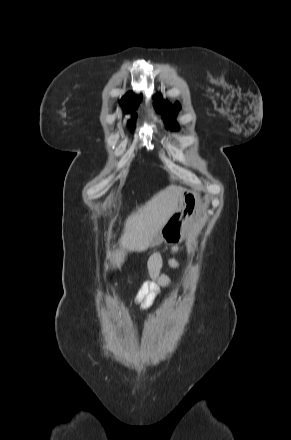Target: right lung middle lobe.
I'll use <instances>...</instances> for the list:
<instances>
[{
	"label": "right lung middle lobe",
	"instance_id": "obj_1",
	"mask_svg": "<svg viewBox=\"0 0 291 440\" xmlns=\"http://www.w3.org/2000/svg\"><path fill=\"white\" fill-rule=\"evenodd\" d=\"M135 118H136V114H134V117H133V119L129 121V125H130L131 127H133V126H134V123H135Z\"/></svg>",
	"mask_w": 291,
	"mask_h": 440
}]
</instances>
